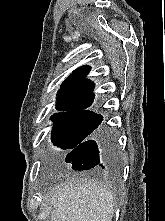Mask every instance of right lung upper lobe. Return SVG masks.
I'll list each match as a JSON object with an SVG mask.
<instances>
[{
	"label": "right lung upper lobe",
	"instance_id": "cb5924a9",
	"mask_svg": "<svg viewBox=\"0 0 165 221\" xmlns=\"http://www.w3.org/2000/svg\"><path fill=\"white\" fill-rule=\"evenodd\" d=\"M90 67L83 66L73 73L62 83L57 96L56 108L68 113H94L86 110L94 99V83L86 80Z\"/></svg>",
	"mask_w": 165,
	"mask_h": 221
}]
</instances>
